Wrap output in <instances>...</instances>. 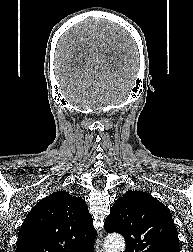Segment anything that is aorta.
Here are the masks:
<instances>
[{"mask_svg": "<svg viewBox=\"0 0 193 252\" xmlns=\"http://www.w3.org/2000/svg\"><path fill=\"white\" fill-rule=\"evenodd\" d=\"M104 244L106 252H124L125 250L124 238L118 234L108 235Z\"/></svg>", "mask_w": 193, "mask_h": 252, "instance_id": "obj_1", "label": "aorta"}]
</instances>
